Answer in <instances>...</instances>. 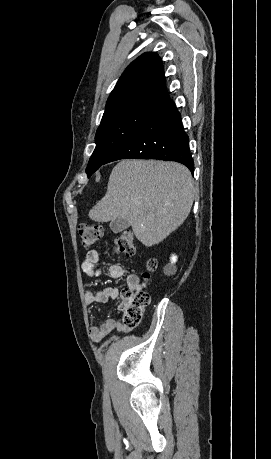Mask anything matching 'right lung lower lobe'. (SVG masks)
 <instances>
[{
  "label": "right lung lower lobe",
  "instance_id": "98d812e1",
  "mask_svg": "<svg viewBox=\"0 0 271 459\" xmlns=\"http://www.w3.org/2000/svg\"><path fill=\"white\" fill-rule=\"evenodd\" d=\"M125 158L175 161L194 173L189 137L183 130L181 115L174 103L134 132L106 163Z\"/></svg>",
  "mask_w": 271,
  "mask_h": 459
}]
</instances>
